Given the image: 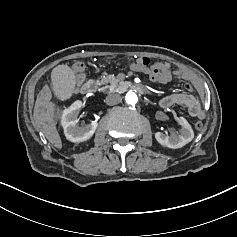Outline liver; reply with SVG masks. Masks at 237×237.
Listing matches in <instances>:
<instances>
[{
  "label": "liver",
  "instance_id": "6515ba94",
  "mask_svg": "<svg viewBox=\"0 0 237 237\" xmlns=\"http://www.w3.org/2000/svg\"><path fill=\"white\" fill-rule=\"evenodd\" d=\"M46 92H49V90H47ZM45 105L46 103L43 102L42 99L38 97L35 103V110H34L36 126L43 132L44 136L51 144H53L56 148L61 149L62 141L55 124L49 122L47 113L43 109H40Z\"/></svg>",
  "mask_w": 237,
  "mask_h": 237
}]
</instances>
